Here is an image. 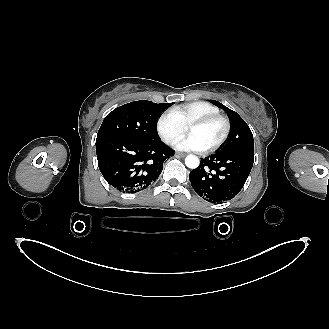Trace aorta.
I'll return each instance as SVG.
<instances>
[{"mask_svg": "<svg viewBox=\"0 0 329 329\" xmlns=\"http://www.w3.org/2000/svg\"><path fill=\"white\" fill-rule=\"evenodd\" d=\"M200 160L197 156L195 155H188L185 158V165L190 168V169H195L199 166Z\"/></svg>", "mask_w": 329, "mask_h": 329, "instance_id": "1", "label": "aorta"}]
</instances>
